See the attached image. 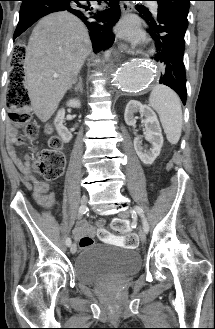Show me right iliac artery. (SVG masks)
<instances>
[{"label":"right iliac artery","mask_w":215,"mask_h":329,"mask_svg":"<svg viewBox=\"0 0 215 329\" xmlns=\"http://www.w3.org/2000/svg\"><path fill=\"white\" fill-rule=\"evenodd\" d=\"M85 213H86V207H80V209H79V216H82ZM66 245L67 246H70L71 245V239L70 238H67L66 239Z\"/></svg>","instance_id":"obj_1"}]
</instances>
